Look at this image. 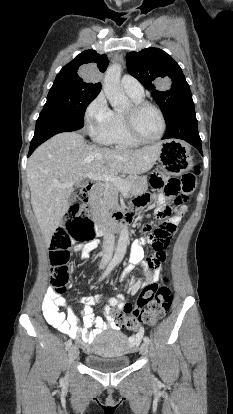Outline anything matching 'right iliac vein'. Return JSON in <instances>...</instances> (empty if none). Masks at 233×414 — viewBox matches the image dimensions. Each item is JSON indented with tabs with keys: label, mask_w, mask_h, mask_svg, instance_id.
Returning a JSON list of instances; mask_svg holds the SVG:
<instances>
[{
	"label": "right iliac vein",
	"mask_w": 233,
	"mask_h": 414,
	"mask_svg": "<svg viewBox=\"0 0 233 414\" xmlns=\"http://www.w3.org/2000/svg\"><path fill=\"white\" fill-rule=\"evenodd\" d=\"M78 348L77 346L73 345L70 347L69 352H68V364L70 365L73 360L78 356Z\"/></svg>",
	"instance_id": "right-iliac-vein-1"
}]
</instances>
